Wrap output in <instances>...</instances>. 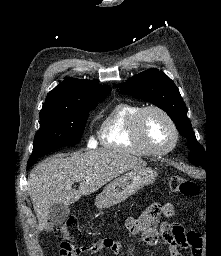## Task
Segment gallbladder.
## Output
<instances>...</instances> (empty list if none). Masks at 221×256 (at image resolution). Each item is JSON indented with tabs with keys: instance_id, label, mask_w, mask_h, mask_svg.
I'll list each match as a JSON object with an SVG mask.
<instances>
[{
	"instance_id": "1",
	"label": "gallbladder",
	"mask_w": 221,
	"mask_h": 256,
	"mask_svg": "<svg viewBox=\"0 0 221 256\" xmlns=\"http://www.w3.org/2000/svg\"><path fill=\"white\" fill-rule=\"evenodd\" d=\"M70 208L62 204H54L49 210V223L47 231H52L54 226L61 225L69 216Z\"/></svg>"
}]
</instances>
